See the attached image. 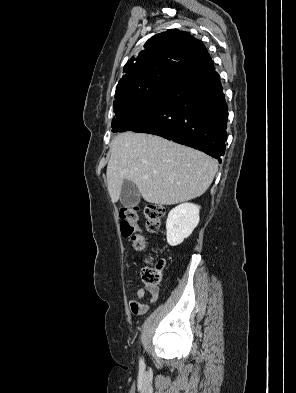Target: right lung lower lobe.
Returning a JSON list of instances; mask_svg holds the SVG:
<instances>
[{
  "mask_svg": "<svg viewBox=\"0 0 296 393\" xmlns=\"http://www.w3.org/2000/svg\"><path fill=\"white\" fill-rule=\"evenodd\" d=\"M227 105L209 54L179 70L121 132L155 134L216 158L225 152Z\"/></svg>",
  "mask_w": 296,
  "mask_h": 393,
  "instance_id": "1",
  "label": "right lung lower lobe"
}]
</instances>
